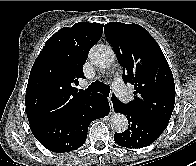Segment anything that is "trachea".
<instances>
[{
    "label": "trachea",
    "mask_w": 196,
    "mask_h": 166,
    "mask_svg": "<svg viewBox=\"0 0 196 166\" xmlns=\"http://www.w3.org/2000/svg\"><path fill=\"white\" fill-rule=\"evenodd\" d=\"M88 92L96 93L100 92L105 96H108L110 93V87L107 84H104L103 82L96 81L92 83L88 88L86 89Z\"/></svg>",
    "instance_id": "3493384b"
}]
</instances>
